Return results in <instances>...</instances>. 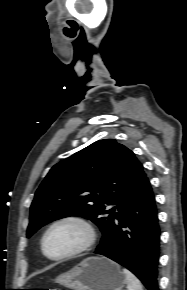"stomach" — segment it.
Listing matches in <instances>:
<instances>
[{
    "instance_id": "stomach-1",
    "label": "stomach",
    "mask_w": 187,
    "mask_h": 290,
    "mask_svg": "<svg viewBox=\"0 0 187 290\" xmlns=\"http://www.w3.org/2000/svg\"><path fill=\"white\" fill-rule=\"evenodd\" d=\"M55 282L70 290H122L127 279L115 262L92 256L57 276Z\"/></svg>"
}]
</instances>
